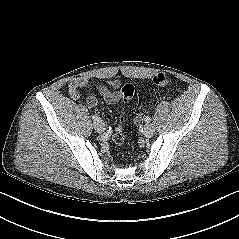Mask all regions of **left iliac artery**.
Masks as SVG:
<instances>
[{"label": "left iliac artery", "instance_id": "obj_1", "mask_svg": "<svg viewBox=\"0 0 239 239\" xmlns=\"http://www.w3.org/2000/svg\"><path fill=\"white\" fill-rule=\"evenodd\" d=\"M145 121H146L147 123H149V122L151 121V118H150L149 116H146V117H145Z\"/></svg>", "mask_w": 239, "mask_h": 239}]
</instances>
